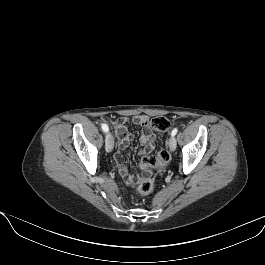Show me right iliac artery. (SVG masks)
I'll use <instances>...</instances> for the list:
<instances>
[{"instance_id": "82829eb1", "label": "right iliac artery", "mask_w": 265, "mask_h": 265, "mask_svg": "<svg viewBox=\"0 0 265 265\" xmlns=\"http://www.w3.org/2000/svg\"><path fill=\"white\" fill-rule=\"evenodd\" d=\"M101 128H102V130H103L104 132H108V131H109V128H108V126H107L106 124H102V125H101Z\"/></svg>"}]
</instances>
